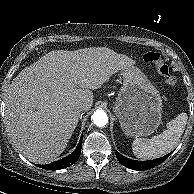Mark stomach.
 Wrapping results in <instances>:
<instances>
[{
	"mask_svg": "<svg viewBox=\"0 0 194 194\" xmlns=\"http://www.w3.org/2000/svg\"><path fill=\"white\" fill-rule=\"evenodd\" d=\"M123 85L114 105L123 132L130 137H147L161 124L162 99L148 78L133 66L121 70Z\"/></svg>",
	"mask_w": 194,
	"mask_h": 194,
	"instance_id": "0dacf381",
	"label": "stomach"
}]
</instances>
